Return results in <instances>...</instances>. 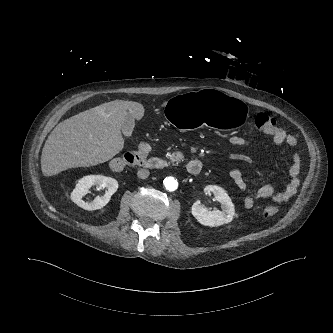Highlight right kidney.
<instances>
[{
  "mask_svg": "<svg viewBox=\"0 0 333 333\" xmlns=\"http://www.w3.org/2000/svg\"><path fill=\"white\" fill-rule=\"evenodd\" d=\"M100 189L106 188L103 196H97L93 202H85L82 197L89 193L92 186ZM118 182L111 177L103 175H88L81 178L71 193L72 201L85 210H96L103 208L110 200L111 196L117 191Z\"/></svg>",
  "mask_w": 333,
  "mask_h": 333,
  "instance_id": "ca27d5eb",
  "label": "right kidney"
}]
</instances>
